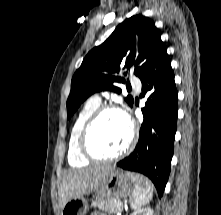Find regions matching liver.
Here are the masks:
<instances>
[{
  "instance_id": "1",
  "label": "liver",
  "mask_w": 221,
  "mask_h": 215,
  "mask_svg": "<svg viewBox=\"0 0 221 215\" xmlns=\"http://www.w3.org/2000/svg\"><path fill=\"white\" fill-rule=\"evenodd\" d=\"M112 170L113 167L104 165L66 173L58 191L61 209L72 198L96 191Z\"/></svg>"
}]
</instances>
